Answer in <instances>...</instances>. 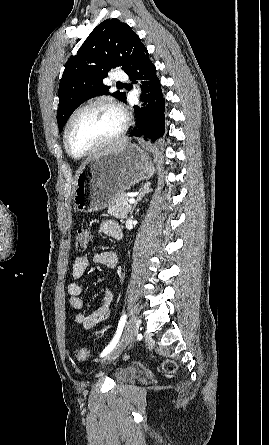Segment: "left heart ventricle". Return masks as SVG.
Instances as JSON below:
<instances>
[{
    "mask_svg": "<svg viewBox=\"0 0 269 445\" xmlns=\"http://www.w3.org/2000/svg\"><path fill=\"white\" fill-rule=\"evenodd\" d=\"M121 124V116L114 109L107 106L89 108L73 120L68 145L75 154L85 153L112 137Z\"/></svg>",
    "mask_w": 269,
    "mask_h": 445,
    "instance_id": "b2bd125f",
    "label": "left heart ventricle"
}]
</instances>
